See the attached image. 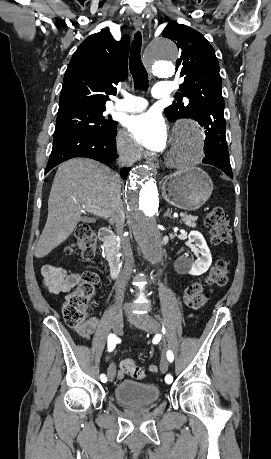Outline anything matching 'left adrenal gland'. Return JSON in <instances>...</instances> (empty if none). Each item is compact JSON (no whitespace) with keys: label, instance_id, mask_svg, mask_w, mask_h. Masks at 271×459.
I'll list each match as a JSON object with an SVG mask.
<instances>
[{"label":"left adrenal gland","instance_id":"a2214340","mask_svg":"<svg viewBox=\"0 0 271 459\" xmlns=\"http://www.w3.org/2000/svg\"><path fill=\"white\" fill-rule=\"evenodd\" d=\"M166 216H168V218H172V216L170 214V208H167V212H165L164 218H166Z\"/></svg>","mask_w":271,"mask_h":459}]
</instances>
